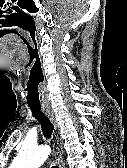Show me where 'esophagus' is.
<instances>
[{"mask_svg":"<svg viewBox=\"0 0 127 168\" xmlns=\"http://www.w3.org/2000/svg\"><path fill=\"white\" fill-rule=\"evenodd\" d=\"M43 112L50 119V121L52 122L55 130L57 131L58 124L56 122L55 114H54L52 108L51 107H43ZM56 162L58 164V168H65L63 158H62V154H61V151H60L59 148H57Z\"/></svg>","mask_w":127,"mask_h":168,"instance_id":"34e87169","label":"esophagus"}]
</instances>
